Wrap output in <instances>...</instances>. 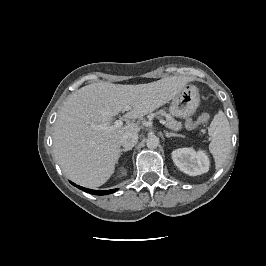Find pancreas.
<instances>
[{"label": "pancreas", "mask_w": 266, "mask_h": 266, "mask_svg": "<svg viewBox=\"0 0 266 266\" xmlns=\"http://www.w3.org/2000/svg\"><path fill=\"white\" fill-rule=\"evenodd\" d=\"M158 115L166 117L167 127L174 131H179L182 129V123L177 122L170 114H167L165 111H159Z\"/></svg>", "instance_id": "cf45deb5"}]
</instances>
